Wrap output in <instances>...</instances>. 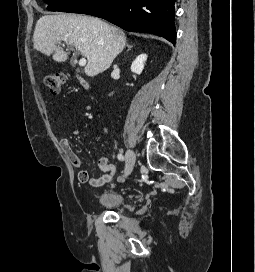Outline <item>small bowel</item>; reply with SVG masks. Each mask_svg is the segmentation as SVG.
Masks as SVG:
<instances>
[{"instance_id": "obj_1", "label": "small bowel", "mask_w": 255, "mask_h": 272, "mask_svg": "<svg viewBox=\"0 0 255 272\" xmlns=\"http://www.w3.org/2000/svg\"><path fill=\"white\" fill-rule=\"evenodd\" d=\"M73 135H79L83 133L81 127H76L72 131ZM60 147L65 154L66 158L76 168H79L78 180L80 183L88 184L93 187H100L110 182L116 173V166L110 162V158L107 156L101 157L98 160V167L104 174L99 178H92L88 170L83 169V161L79 155L72 149L70 139L64 137L60 140Z\"/></svg>"}]
</instances>
